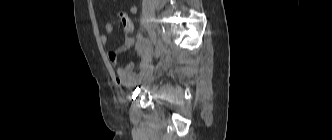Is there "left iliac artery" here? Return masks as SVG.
I'll use <instances>...</instances> for the list:
<instances>
[{"instance_id":"obj_1","label":"left iliac artery","mask_w":332,"mask_h":140,"mask_svg":"<svg viewBox=\"0 0 332 140\" xmlns=\"http://www.w3.org/2000/svg\"><path fill=\"white\" fill-rule=\"evenodd\" d=\"M150 38H151L152 43L155 45V44H156L157 37H156V33H155L154 30H151V31H150Z\"/></svg>"}]
</instances>
